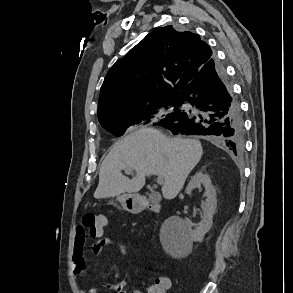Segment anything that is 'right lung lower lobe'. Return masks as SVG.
Listing matches in <instances>:
<instances>
[{
	"instance_id": "1",
	"label": "right lung lower lobe",
	"mask_w": 293,
	"mask_h": 293,
	"mask_svg": "<svg viewBox=\"0 0 293 293\" xmlns=\"http://www.w3.org/2000/svg\"><path fill=\"white\" fill-rule=\"evenodd\" d=\"M176 109L156 125L174 134L213 136L235 155L244 149L241 109L219 62L209 60L176 98ZM187 105L180 108L182 105Z\"/></svg>"
}]
</instances>
